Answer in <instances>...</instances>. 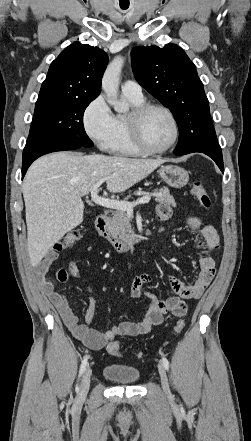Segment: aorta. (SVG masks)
<instances>
[{
	"label": "aorta",
	"instance_id": "obj_1",
	"mask_svg": "<svg viewBox=\"0 0 251 441\" xmlns=\"http://www.w3.org/2000/svg\"><path fill=\"white\" fill-rule=\"evenodd\" d=\"M122 67L123 59L121 57H115L108 65L102 78V89L106 94L107 102L112 105L114 110L118 113H126L129 110L128 103L118 100V89Z\"/></svg>",
	"mask_w": 251,
	"mask_h": 441
}]
</instances>
